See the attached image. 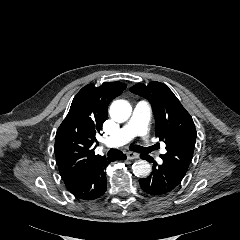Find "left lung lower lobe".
<instances>
[{
	"label": "left lung lower lobe",
	"instance_id": "1",
	"mask_svg": "<svg viewBox=\"0 0 240 240\" xmlns=\"http://www.w3.org/2000/svg\"><path fill=\"white\" fill-rule=\"evenodd\" d=\"M141 157L153 162V158L146 154H141ZM184 176V172H181L167 162L163 161L161 165L154 162L152 174L147 178L140 179L139 183L145 193L163 195L180 186Z\"/></svg>",
	"mask_w": 240,
	"mask_h": 240
}]
</instances>
